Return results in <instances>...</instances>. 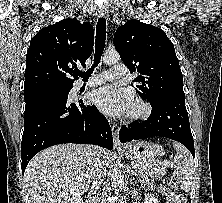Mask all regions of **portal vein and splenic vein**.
<instances>
[{"instance_id": "1", "label": "portal vein and splenic vein", "mask_w": 222, "mask_h": 203, "mask_svg": "<svg viewBox=\"0 0 222 203\" xmlns=\"http://www.w3.org/2000/svg\"><path fill=\"white\" fill-rule=\"evenodd\" d=\"M164 164H165V166H171V167H173V164H172V163L165 162ZM134 166L137 167L138 165L135 164Z\"/></svg>"}]
</instances>
